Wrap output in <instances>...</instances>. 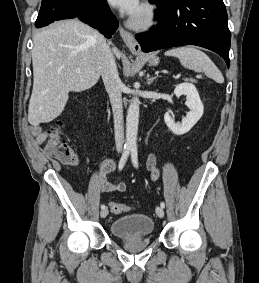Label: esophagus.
<instances>
[{
	"mask_svg": "<svg viewBox=\"0 0 259 283\" xmlns=\"http://www.w3.org/2000/svg\"><path fill=\"white\" fill-rule=\"evenodd\" d=\"M120 35L124 41V43L126 44V46L128 47V49L133 53V54H139L141 51V47L140 44L138 43V41L135 39V37L133 36V34H131L130 32L126 31L125 29H123L122 27L120 28Z\"/></svg>",
	"mask_w": 259,
	"mask_h": 283,
	"instance_id": "obj_1",
	"label": "esophagus"
}]
</instances>
